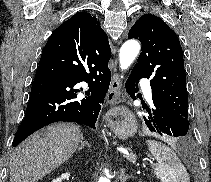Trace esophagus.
Segmentation results:
<instances>
[{
  "instance_id": "esophagus-1",
  "label": "esophagus",
  "mask_w": 211,
  "mask_h": 182,
  "mask_svg": "<svg viewBox=\"0 0 211 182\" xmlns=\"http://www.w3.org/2000/svg\"><path fill=\"white\" fill-rule=\"evenodd\" d=\"M106 98L108 103L111 105H118L126 99V96L122 91L121 78L117 73H115L112 77Z\"/></svg>"
}]
</instances>
